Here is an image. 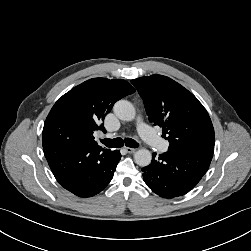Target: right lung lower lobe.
Listing matches in <instances>:
<instances>
[{
    "mask_svg": "<svg viewBox=\"0 0 251 251\" xmlns=\"http://www.w3.org/2000/svg\"><path fill=\"white\" fill-rule=\"evenodd\" d=\"M44 154L59 184L79 197L101 192L121 158L118 150L106 152L99 147H48Z\"/></svg>",
    "mask_w": 251,
    "mask_h": 251,
    "instance_id": "obj_1",
    "label": "right lung lower lobe"
}]
</instances>
